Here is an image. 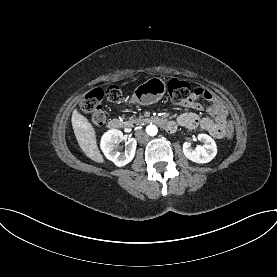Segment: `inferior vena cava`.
Wrapping results in <instances>:
<instances>
[{
    "mask_svg": "<svg viewBox=\"0 0 277 277\" xmlns=\"http://www.w3.org/2000/svg\"><path fill=\"white\" fill-rule=\"evenodd\" d=\"M136 138H137V140L139 142H143L144 143V142L148 141L149 136L147 135V133L145 131L138 130L136 132Z\"/></svg>",
    "mask_w": 277,
    "mask_h": 277,
    "instance_id": "1",
    "label": "inferior vena cava"
}]
</instances>
